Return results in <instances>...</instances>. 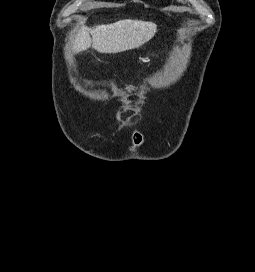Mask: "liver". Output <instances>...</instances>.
<instances>
[{"label":"liver","mask_w":255,"mask_h":272,"mask_svg":"<svg viewBox=\"0 0 255 272\" xmlns=\"http://www.w3.org/2000/svg\"><path fill=\"white\" fill-rule=\"evenodd\" d=\"M157 31L156 24L125 19L112 24L83 27L78 32L73 50L82 52L93 47L99 53H119L148 42Z\"/></svg>","instance_id":"liver-1"}]
</instances>
